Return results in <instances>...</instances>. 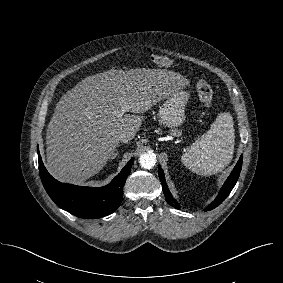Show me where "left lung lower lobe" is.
I'll use <instances>...</instances> for the list:
<instances>
[{
	"label": "left lung lower lobe",
	"mask_w": 283,
	"mask_h": 283,
	"mask_svg": "<svg viewBox=\"0 0 283 283\" xmlns=\"http://www.w3.org/2000/svg\"><path fill=\"white\" fill-rule=\"evenodd\" d=\"M241 167H242V156L239 158L236 166L234 167L233 171L231 172L230 176L228 177V179L226 180V182L224 183V185L222 186L217 198L207 207L206 210H212L215 207H217L218 205H220L226 198L227 196L230 194V192L232 191L233 187L235 186L239 175H240V171H241ZM159 178L162 184V189H163V193L164 196L166 198V201L173 207H178L179 205L177 204V201L172 197L166 182H165V177H164V173L163 170L161 169V167L159 166Z\"/></svg>",
	"instance_id": "obj_1"
}]
</instances>
